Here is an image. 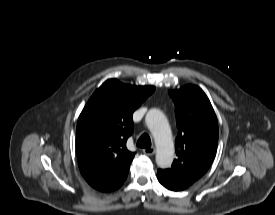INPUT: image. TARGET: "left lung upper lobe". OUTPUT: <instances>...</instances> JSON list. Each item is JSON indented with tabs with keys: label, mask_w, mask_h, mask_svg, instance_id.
<instances>
[{
	"label": "left lung upper lobe",
	"mask_w": 275,
	"mask_h": 215,
	"mask_svg": "<svg viewBox=\"0 0 275 215\" xmlns=\"http://www.w3.org/2000/svg\"><path fill=\"white\" fill-rule=\"evenodd\" d=\"M175 103L178 135L177 158L166 169L171 175L191 183L202 177L212 164L218 144V123L206 94L195 85L170 90Z\"/></svg>",
	"instance_id": "5c2ea615"
}]
</instances>
